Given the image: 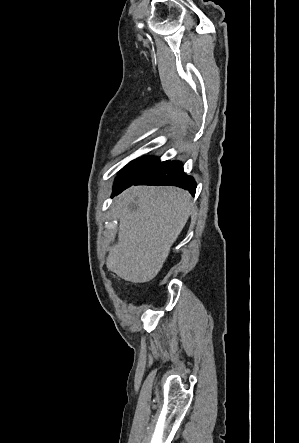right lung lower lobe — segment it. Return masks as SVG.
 Wrapping results in <instances>:
<instances>
[{
	"label": "right lung lower lobe",
	"mask_w": 299,
	"mask_h": 443,
	"mask_svg": "<svg viewBox=\"0 0 299 443\" xmlns=\"http://www.w3.org/2000/svg\"><path fill=\"white\" fill-rule=\"evenodd\" d=\"M131 185H171L178 186L195 194L196 183L191 176H187L183 171V165L178 161L159 162L150 171L135 181L123 185H117L113 188L114 195L119 194Z\"/></svg>",
	"instance_id": "98d812e1"
}]
</instances>
